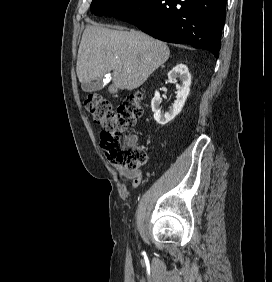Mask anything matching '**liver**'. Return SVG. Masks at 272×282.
<instances>
[{"mask_svg":"<svg viewBox=\"0 0 272 282\" xmlns=\"http://www.w3.org/2000/svg\"><path fill=\"white\" fill-rule=\"evenodd\" d=\"M169 57L166 43L140 31L88 25L79 45L76 71L82 85L113 71L112 81L117 88L133 90Z\"/></svg>","mask_w":272,"mask_h":282,"instance_id":"1","label":"liver"}]
</instances>
